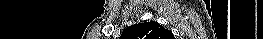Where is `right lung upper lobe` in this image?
<instances>
[{
    "instance_id": "cb5924a9",
    "label": "right lung upper lobe",
    "mask_w": 263,
    "mask_h": 39,
    "mask_svg": "<svg viewBox=\"0 0 263 39\" xmlns=\"http://www.w3.org/2000/svg\"><path fill=\"white\" fill-rule=\"evenodd\" d=\"M135 39H173L172 33L157 22H145L132 25L122 35Z\"/></svg>"
}]
</instances>
